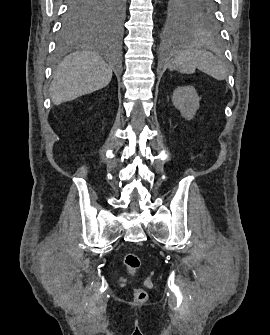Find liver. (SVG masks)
I'll use <instances>...</instances> for the list:
<instances>
[{"label": "liver", "mask_w": 270, "mask_h": 335, "mask_svg": "<svg viewBox=\"0 0 270 335\" xmlns=\"http://www.w3.org/2000/svg\"><path fill=\"white\" fill-rule=\"evenodd\" d=\"M112 70L97 52H75L59 64L49 88L55 106L110 84Z\"/></svg>", "instance_id": "liver-1"}]
</instances>
